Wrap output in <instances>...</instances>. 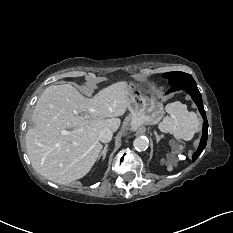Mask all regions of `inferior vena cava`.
I'll return each instance as SVG.
<instances>
[{
  "mask_svg": "<svg viewBox=\"0 0 233 233\" xmlns=\"http://www.w3.org/2000/svg\"><path fill=\"white\" fill-rule=\"evenodd\" d=\"M113 136V132L110 129H103L100 133H99V140L102 143H108L111 141Z\"/></svg>",
  "mask_w": 233,
  "mask_h": 233,
  "instance_id": "1",
  "label": "inferior vena cava"
}]
</instances>
